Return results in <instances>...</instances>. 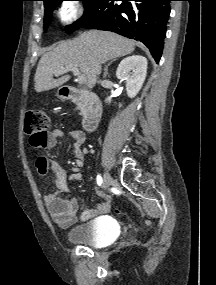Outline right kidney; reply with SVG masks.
<instances>
[{"label": "right kidney", "mask_w": 216, "mask_h": 285, "mask_svg": "<svg viewBox=\"0 0 216 285\" xmlns=\"http://www.w3.org/2000/svg\"><path fill=\"white\" fill-rule=\"evenodd\" d=\"M147 64V59L141 55H132L120 62L116 77L125 81L129 98H134L142 88L146 78Z\"/></svg>", "instance_id": "right-kidney-1"}]
</instances>
